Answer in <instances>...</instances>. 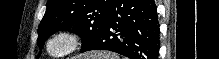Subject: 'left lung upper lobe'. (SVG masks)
<instances>
[{
  "label": "left lung upper lobe",
  "instance_id": "1",
  "mask_svg": "<svg viewBox=\"0 0 219 59\" xmlns=\"http://www.w3.org/2000/svg\"><path fill=\"white\" fill-rule=\"evenodd\" d=\"M113 1L48 0L38 29V46L42 48L45 40L53 33L74 27L75 33L82 38L83 50L99 35Z\"/></svg>",
  "mask_w": 219,
  "mask_h": 59
}]
</instances>
